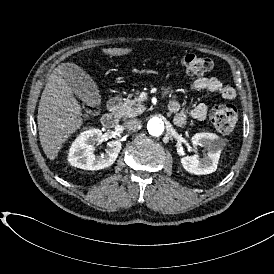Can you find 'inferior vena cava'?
Returning <instances> with one entry per match:
<instances>
[{
  "mask_svg": "<svg viewBox=\"0 0 274 274\" xmlns=\"http://www.w3.org/2000/svg\"><path fill=\"white\" fill-rule=\"evenodd\" d=\"M140 125H141L140 120H138L136 118L127 119L123 123L124 129L127 131H135L136 129H138L140 127Z\"/></svg>",
  "mask_w": 274,
  "mask_h": 274,
  "instance_id": "inferior-vena-cava-1",
  "label": "inferior vena cava"
}]
</instances>
